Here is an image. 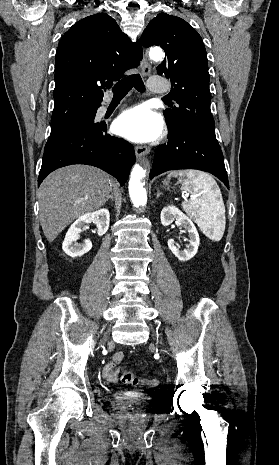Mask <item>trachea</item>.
I'll return each instance as SVG.
<instances>
[{"mask_svg":"<svg viewBox=\"0 0 279 465\" xmlns=\"http://www.w3.org/2000/svg\"><path fill=\"white\" fill-rule=\"evenodd\" d=\"M133 87L139 92L145 91V86L140 74L127 76L119 81L113 88L114 96H125ZM164 99H166V97Z\"/></svg>","mask_w":279,"mask_h":465,"instance_id":"1","label":"trachea"}]
</instances>
